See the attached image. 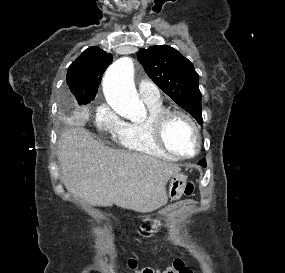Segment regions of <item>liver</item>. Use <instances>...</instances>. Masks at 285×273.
<instances>
[{"mask_svg": "<svg viewBox=\"0 0 285 273\" xmlns=\"http://www.w3.org/2000/svg\"><path fill=\"white\" fill-rule=\"evenodd\" d=\"M61 180L74 196L93 206L147 213L167 202L166 184L180 168L146 154L105 146L81 127L58 139Z\"/></svg>", "mask_w": 285, "mask_h": 273, "instance_id": "liver-1", "label": "liver"}]
</instances>
